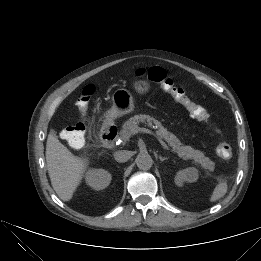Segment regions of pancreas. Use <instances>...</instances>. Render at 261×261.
<instances>
[{"instance_id": "cf45deb5", "label": "pancreas", "mask_w": 261, "mask_h": 261, "mask_svg": "<svg viewBox=\"0 0 261 261\" xmlns=\"http://www.w3.org/2000/svg\"><path fill=\"white\" fill-rule=\"evenodd\" d=\"M140 122H145L149 127L156 129L157 135L164 139L171 147L172 151L176 152L185 160H193L194 163L200 164L209 172L214 171L215 163L204 155L203 152L195 150L190 146H184L182 142L156 119L148 115H135L126 121L120 132L121 138L128 141L132 135V129L138 127ZM211 175V174H208Z\"/></svg>"}]
</instances>
